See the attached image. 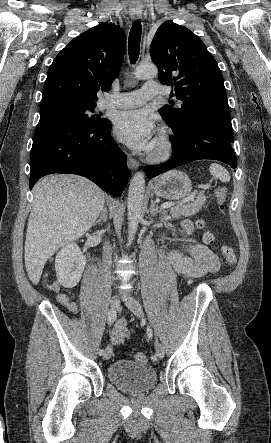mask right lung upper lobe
Wrapping results in <instances>:
<instances>
[{
  "label": "right lung upper lobe",
  "instance_id": "1",
  "mask_svg": "<svg viewBox=\"0 0 271 443\" xmlns=\"http://www.w3.org/2000/svg\"><path fill=\"white\" fill-rule=\"evenodd\" d=\"M125 33L100 24L70 41L49 67L42 101L75 99L95 103L100 87L111 88L125 53Z\"/></svg>",
  "mask_w": 271,
  "mask_h": 443
}]
</instances>
